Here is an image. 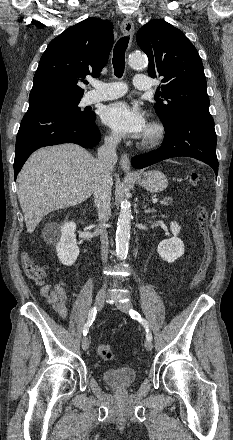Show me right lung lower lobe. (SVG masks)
Returning <instances> with one entry per match:
<instances>
[{"label":"right lung lower lobe","instance_id":"right-lung-lower-lobe-1","mask_svg":"<svg viewBox=\"0 0 233 440\" xmlns=\"http://www.w3.org/2000/svg\"><path fill=\"white\" fill-rule=\"evenodd\" d=\"M100 141L95 116L84 120L56 109H28L22 119L15 148V178L35 150L66 142L93 148Z\"/></svg>","mask_w":233,"mask_h":440}]
</instances>
